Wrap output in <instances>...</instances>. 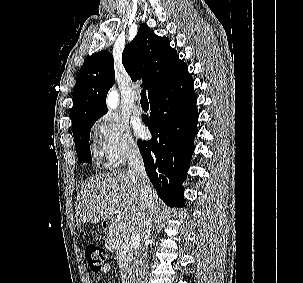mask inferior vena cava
Listing matches in <instances>:
<instances>
[{"instance_id":"obj_1","label":"inferior vena cava","mask_w":303,"mask_h":283,"mask_svg":"<svg viewBox=\"0 0 303 283\" xmlns=\"http://www.w3.org/2000/svg\"><path fill=\"white\" fill-rule=\"evenodd\" d=\"M128 168L133 181L137 184H139V182H142V184H139L138 186L141 211V217L138 222V234L142 235V233L145 232V238L147 239L151 229L150 216L153 212V198L151 195L150 182L144 167V162L141 153L136 146L130 147L128 151ZM146 257L147 246H137L135 248V256L132 265V283H147Z\"/></svg>"}]
</instances>
